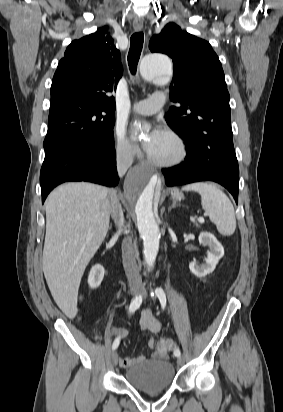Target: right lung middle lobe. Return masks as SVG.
I'll list each match as a JSON object with an SVG mask.
<instances>
[{
  "label": "right lung middle lobe",
  "mask_w": 283,
  "mask_h": 412,
  "mask_svg": "<svg viewBox=\"0 0 283 412\" xmlns=\"http://www.w3.org/2000/svg\"><path fill=\"white\" fill-rule=\"evenodd\" d=\"M114 113L97 107L71 106L63 114L49 115L45 153L66 145L114 146Z\"/></svg>",
  "instance_id": "1"
}]
</instances>
